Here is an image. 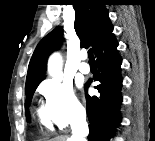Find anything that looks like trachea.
I'll use <instances>...</instances> for the list:
<instances>
[{
  "mask_svg": "<svg viewBox=\"0 0 155 141\" xmlns=\"http://www.w3.org/2000/svg\"><path fill=\"white\" fill-rule=\"evenodd\" d=\"M88 56H89L90 62L94 63L95 59L93 58V50L92 49L88 50Z\"/></svg>",
  "mask_w": 155,
  "mask_h": 141,
  "instance_id": "3493384b",
  "label": "trachea"
}]
</instances>
